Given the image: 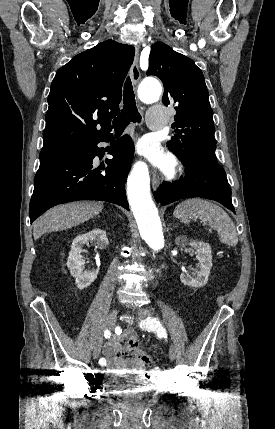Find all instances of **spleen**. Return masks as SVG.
I'll use <instances>...</instances> for the list:
<instances>
[{
  "label": "spleen",
  "mask_w": 275,
  "mask_h": 429,
  "mask_svg": "<svg viewBox=\"0 0 275 429\" xmlns=\"http://www.w3.org/2000/svg\"><path fill=\"white\" fill-rule=\"evenodd\" d=\"M174 216L183 223H189L192 218H199L217 230L222 243L228 246H236L238 243L233 221L221 207L212 202L201 198L185 200L175 208Z\"/></svg>",
  "instance_id": "obj_1"
}]
</instances>
